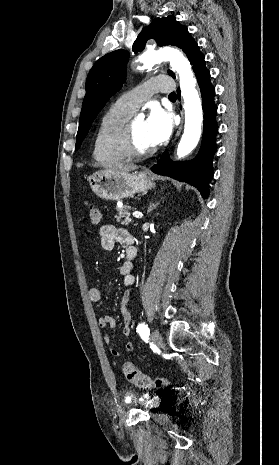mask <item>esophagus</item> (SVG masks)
Returning a JSON list of instances; mask_svg holds the SVG:
<instances>
[{
  "mask_svg": "<svg viewBox=\"0 0 279 465\" xmlns=\"http://www.w3.org/2000/svg\"><path fill=\"white\" fill-rule=\"evenodd\" d=\"M180 131H181V127L179 128V131L177 132V135H179V134H180Z\"/></svg>",
  "mask_w": 279,
  "mask_h": 465,
  "instance_id": "esophagus-1",
  "label": "esophagus"
}]
</instances>
